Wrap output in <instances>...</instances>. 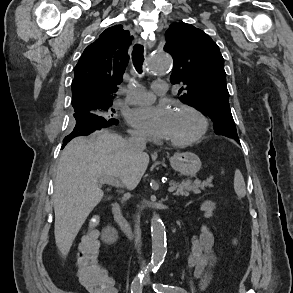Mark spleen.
<instances>
[{
	"mask_svg": "<svg viewBox=\"0 0 293 293\" xmlns=\"http://www.w3.org/2000/svg\"><path fill=\"white\" fill-rule=\"evenodd\" d=\"M234 190L239 198H243L246 195L244 178L238 169L235 171L234 175Z\"/></svg>",
	"mask_w": 293,
	"mask_h": 293,
	"instance_id": "obj_1",
	"label": "spleen"
}]
</instances>
